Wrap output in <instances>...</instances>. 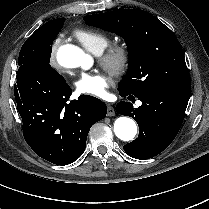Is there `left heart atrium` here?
Listing matches in <instances>:
<instances>
[{
	"label": "left heart atrium",
	"mask_w": 209,
	"mask_h": 209,
	"mask_svg": "<svg viewBox=\"0 0 209 209\" xmlns=\"http://www.w3.org/2000/svg\"><path fill=\"white\" fill-rule=\"evenodd\" d=\"M109 80L102 74L84 72L75 81L76 91L81 95L104 98Z\"/></svg>",
	"instance_id": "left-heart-atrium-1"
}]
</instances>
